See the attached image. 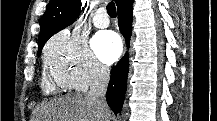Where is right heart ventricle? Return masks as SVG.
<instances>
[{
    "label": "right heart ventricle",
    "mask_w": 217,
    "mask_h": 121,
    "mask_svg": "<svg viewBox=\"0 0 217 121\" xmlns=\"http://www.w3.org/2000/svg\"><path fill=\"white\" fill-rule=\"evenodd\" d=\"M42 87L46 93H57L66 89L65 86L59 84L58 82H50L46 78H43Z\"/></svg>",
    "instance_id": "right-heart-ventricle-1"
}]
</instances>
